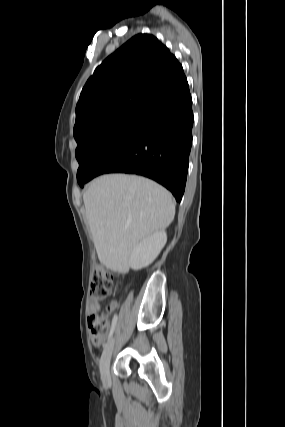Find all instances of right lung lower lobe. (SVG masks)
<instances>
[{
  "mask_svg": "<svg viewBox=\"0 0 285 427\" xmlns=\"http://www.w3.org/2000/svg\"><path fill=\"white\" fill-rule=\"evenodd\" d=\"M192 126V99L184 75L148 100L85 182L104 173L138 174L162 184L180 202L188 172Z\"/></svg>",
  "mask_w": 285,
  "mask_h": 427,
  "instance_id": "1",
  "label": "right lung lower lobe"
}]
</instances>
